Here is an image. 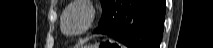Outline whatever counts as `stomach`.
I'll list each match as a JSON object with an SVG mask.
<instances>
[{
	"instance_id": "0dacf381",
	"label": "stomach",
	"mask_w": 213,
	"mask_h": 48,
	"mask_svg": "<svg viewBox=\"0 0 213 48\" xmlns=\"http://www.w3.org/2000/svg\"><path fill=\"white\" fill-rule=\"evenodd\" d=\"M102 44L100 43H97L95 45H89V46H86L85 48H100Z\"/></svg>"
}]
</instances>
